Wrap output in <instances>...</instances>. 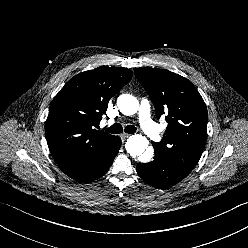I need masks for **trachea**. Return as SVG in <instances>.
Returning a JSON list of instances; mask_svg holds the SVG:
<instances>
[{
	"label": "trachea",
	"mask_w": 248,
	"mask_h": 248,
	"mask_svg": "<svg viewBox=\"0 0 248 248\" xmlns=\"http://www.w3.org/2000/svg\"><path fill=\"white\" fill-rule=\"evenodd\" d=\"M136 130H137L136 127H134L132 125H128L124 129V131L126 133H129V134L135 133ZM107 131L112 133V134H119V133H121L123 131V128L119 123H115L110 128H108Z\"/></svg>",
	"instance_id": "trachea-1"
}]
</instances>
